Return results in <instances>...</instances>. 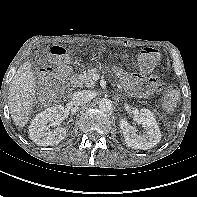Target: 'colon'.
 I'll use <instances>...</instances> for the list:
<instances>
[{
    "mask_svg": "<svg viewBox=\"0 0 197 197\" xmlns=\"http://www.w3.org/2000/svg\"><path fill=\"white\" fill-rule=\"evenodd\" d=\"M52 67L42 76L43 94L50 95L53 86L66 79L70 71V57L66 49L62 47H53L51 49ZM160 53L153 47L143 48L137 56L135 62L143 71H150L159 62ZM179 100V94L173 86H167L164 96V107L167 110L174 109Z\"/></svg>",
    "mask_w": 197,
    "mask_h": 197,
    "instance_id": "5ec220e1",
    "label": "colon"
}]
</instances>
